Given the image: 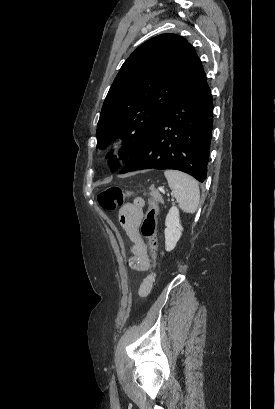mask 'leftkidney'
<instances>
[{
	"label": "left kidney",
	"mask_w": 275,
	"mask_h": 409,
	"mask_svg": "<svg viewBox=\"0 0 275 409\" xmlns=\"http://www.w3.org/2000/svg\"><path fill=\"white\" fill-rule=\"evenodd\" d=\"M167 229H165V249L173 251L182 235V227L180 225L179 211L177 207H171L165 221Z\"/></svg>",
	"instance_id": "left-kidney-1"
}]
</instances>
